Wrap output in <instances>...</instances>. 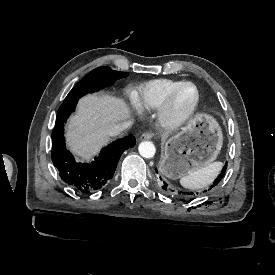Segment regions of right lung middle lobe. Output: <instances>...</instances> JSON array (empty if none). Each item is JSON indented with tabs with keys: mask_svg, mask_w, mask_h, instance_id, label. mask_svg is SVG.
Returning <instances> with one entry per match:
<instances>
[{
	"mask_svg": "<svg viewBox=\"0 0 275 275\" xmlns=\"http://www.w3.org/2000/svg\"><path fill=\"white\" fill-rule=\"evenodd\" d=\"M123 77H127V73L112 70L107 66L98 67L73 87L64 99L63 104L77 102L83 95L98 91Z\"/></svg>",
	"mask_w": 275,
	"mask_h": 275,
	"instance_id": "right-lung-middle-lobe-1",
	"label": "right lung middle lobe"
}]
</instances>
